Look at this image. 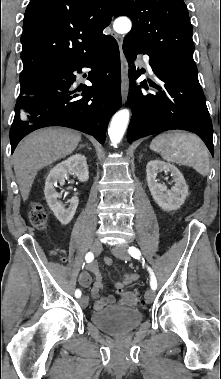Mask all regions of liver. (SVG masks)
Listing matches in <instances>:
<instances>
[{"label":"liver","instance_id":"liver-1","mask_svg":"<svg viewBox=\"0 0 221 379\" xmlns=\"http://www.w3.org/2000/svg\"><path fill=\"white\" fill-rule=\"evenodd\" d=\"M81 134L66 128H44L24 138L13 154V165L17 182L24 201L37 172L43 167L71 154Z\"/></svg>","mask_w":221,"mask_h":379}]
</instances>
